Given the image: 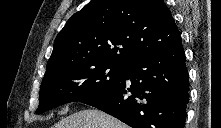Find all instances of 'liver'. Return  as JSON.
Returning <instances> with one entry per match:
<instances>
[{
    "instance_id": "obj_1",
    "label": "liver",
    "mask_w": 221,
    "mask_h": 128,
    "mask_svg": "<svg viewBox=\"0 0 221 128\" xmlns=\"http://www.w3.org/2000/svg\"><path fill=\"white\" fill-rule=\"evenodd\" d=\"M53 128H128V126L100 110L87 109L60 120Z\"/></svg>"
}]
</instances>
